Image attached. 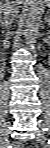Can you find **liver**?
<instances>
[{"mask_svg": "<svg viewBox=\"0 0 50 148\" xmlns=\"http://www.w3.org/2000/svg\"><path fill=\"white\" fill-rule=\"evenodd\" d=\"M7 1H9V0H1V12H2L3 6L6 5ZM24 1H26V0H18V3H22Z\"/></svg>", "mask_w": 50, "mask_h": 148, "instance_id": "1", "label": "liver"}]
</instances>
